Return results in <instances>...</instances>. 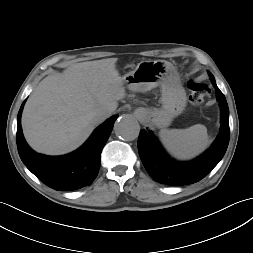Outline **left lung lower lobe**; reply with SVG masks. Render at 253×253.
Returning a JSON list of instances; mask_svg holds the SVG:
<instances>
[{"label": "left lung lower lobe", "instance_id": "left-lung-lower-lobe-1", "mask_svg": "<svg viewBox=\"0 0 253 253\" xmlns=\"http://www.w3.org/2000/svg\"><path fill=\"white\" fill-rule=\"evenodd\" d=\"M217 101L221 109L220 133L203 155L190 162L170 159L153 133L142 129L138 139V152L149 175L155 181L166 185H187L200 181L223 158L229 143V109L223 93L216 83Z\"/></svg>", "mask_w": 253, "mask_h": 253}]
</instances>
